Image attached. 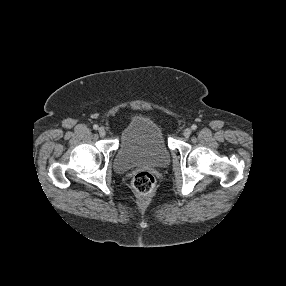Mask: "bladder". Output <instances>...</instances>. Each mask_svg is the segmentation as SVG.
Instances as JSON below:
<instances>
[{"label":"bladder","mask_w":286,"mask_h":286,"mask_svg":"<svg viewBox=\"0 0 286 286\" xmlns=\"http://www.w3.org/2000/svg\"><path fill=\"white\" fill-rule=\"evenodd\" d=\"M170 153L160 127L147 120H133L125 130L117 150L115 168L126 172L139 166L162 167Z\"/></svg>","instance_id":"31cf9c89"}]
</instances>
